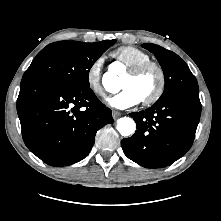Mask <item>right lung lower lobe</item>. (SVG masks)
<instances>
[{"mask_svg":"<svg viewBox=\"0 0 221 221\" xmlns=\"http://www.w3.org/2000/svg\"><path fill=\"white\" fill-rule=\"evenodd\" d=\"M17 112L26 146L52 166L85 158L96 132L113 122L90 87L48 78L22 79Z\"/></svg>","mask_w":221,"mask_h":221,"instance_id":"98d812e1","label":"right lung lower lobe"}]
</instances>
